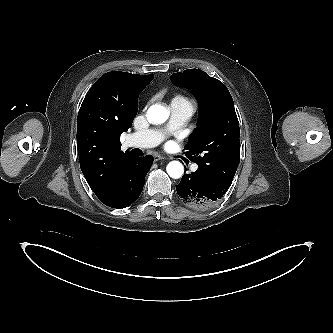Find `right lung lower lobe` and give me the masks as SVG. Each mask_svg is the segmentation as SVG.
<instances>
[{"mask_svg": "<svg viewBox=\"0 0 333 333\" xmlns=\"http://www.w3.org/2000/svg\"><path fill=\"white\" fill-rule=\"evenodd\" d=\"M152 157L129 156L120 169L116 185L112 192L100 199L112 208H125L132 204L141 194L144 179L152 165Z\"/></svg>", "mask_w": 333, "mask_h": 333, "instance_id": "obj_1", "label": "right lung lower lobe"}]
</instances>
